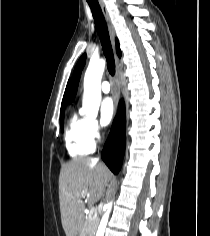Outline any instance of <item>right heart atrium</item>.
Masks as SVG:
<instances>
[{"mask_svg":"<svg viewBox=\"0 0 210 236\" xmlns=\"http://www.w3.org/2000/svg\"><path fill=\"white\" fill-rule=\"evenodd\" d=\"M88 133L92 140H98L101 137V127L98 121L89 120L88 121Z\"/></svg>","mask_w":210,"mask_h":236,"instance_id":"d8ad5b80","label":"right heart atrium"}]
</instances>
